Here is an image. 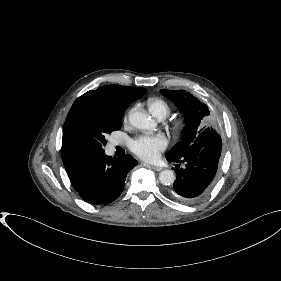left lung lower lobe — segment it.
I'll return each instance as SVG.
<instances>
[{
  "instance_id": "left-lung-lower-lobe-1",
  "label": "left lung lower lobe",
  "mask_w": 281,
  "mask_h": 281,
  "mask_svg": "<svg viewBox=\"0 0 281 281\" xmlns=\"http://www.w3.org/2000/svg\"><path fill=\"white\" fill-rule=\"evenodd\" d=\"M221 150L220 135L204 131L182 157L166 158L168 162L185 163L184 168H179L178 164L173 168L177 177L172 195L186 203L197 202L203 198L215 182Z\"/></svg>"
}]
</instances>
